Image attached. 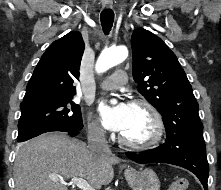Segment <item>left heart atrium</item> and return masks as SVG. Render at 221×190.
<instances>
[{
	"label": "left heart atrium",
	"mask_w": 221,
	"mask_h": 190,
	"mask_svg": "<svg viewBox=\"0 0 221 190\" xmlns=\"http://www.w3.org/2000/svg\"><path fill=\"white\" fill-rule=\"evenodd\" d=\"M131 105L126 102L110 104L100 102L98 113L102 124L111 131L122 132L126 129L130 119Z\"/></svg>",
	"instance_id": "left-heart-atrium-1"
}]
</instances>
